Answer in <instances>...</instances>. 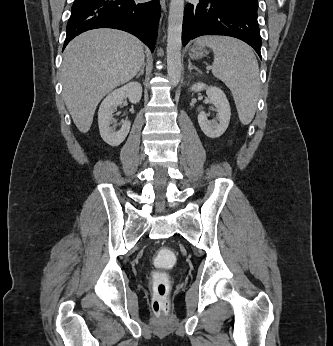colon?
<instances>
[{
    "instance_id": "1",
    "label": "colon",
    "mask_w": 333,
    "mask_h": 346,
    "mask_svg": "<svg viewBox=\"0 0 333 346\" xmlns=\"http://www.w3.org/2000/svg\"><path fill=\"white\" fill-rule=\"evenodd\" d=\"M175 249L162 248L158 250L157 256L154 257L153 271V310L156 315H164L169 308V292L173 288V281L164 272L173 271L176 263L174 260Z\"/></svg>"
}]
</instances>
